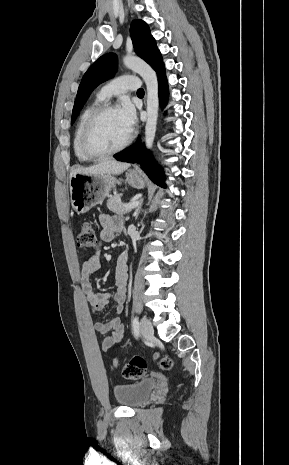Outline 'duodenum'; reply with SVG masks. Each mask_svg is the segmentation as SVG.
<instances>
[{"label": "duodenum", "mask_w": 289, "mask_h": 465, "mask_svg": "<svg viewBox=\"0 0 289 465\" xmlns=\"http://www.w3.org/2000/svg\"><path fill=\"white\" fill-rule=\"evenodd\" d=\"M128 258H129V255H128L127 252H123V253L121 254V259H122L123 261H128Z\"/></svg>", "instance_id": "410a0bca"}]
</instances>
